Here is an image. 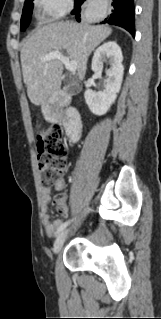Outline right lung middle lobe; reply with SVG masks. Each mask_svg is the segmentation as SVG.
Segmentation results:
<instances>
[{"mask_svg":"<svg viewBox=\"0 0 161 319\" xmlns=\"http://www.w3.org/2000/svg\"><path fill=\"white\" fill-rule=\"evenodd\" d=\"M33 10V0L25 1L23 13L21 17V30L24 31L29 25L30 18Z\"/></svg>","mask_w":161,"mask_h":319,"instance_id":"obj_1","label":"right lung middle lobe"}]
</instances>
